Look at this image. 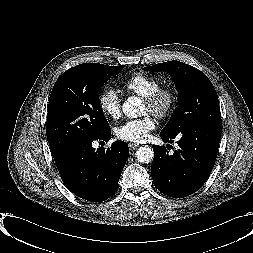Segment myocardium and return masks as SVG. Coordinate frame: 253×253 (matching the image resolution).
Masks as SVG:
<instances>
[{
  "label": "myocardium",
  "mask_w": 253,
  "mask_h": 253,
  "mask_svg": "<svg viewBox=\"0 0 253 253\" xmlns=\"http://www.w3.org/2000/svg\"><path fill=\"white\" fill-rule=\"evenodd\" d=\"M176 92L169 87H160L151 95L144 98V103L150 113L158 119L167 117L176 104Z\"/></svg>",
  "instance_id": "myocardium-1"
}]
</instances>
